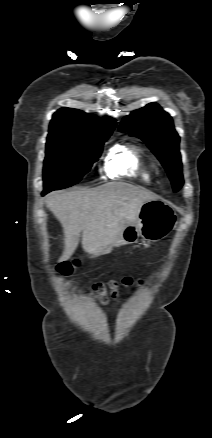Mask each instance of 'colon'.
Segmentation results:
<instances>
[{
  "instance_id": "colon-1",
  "label": "colon",
  "mask_w": 212,
  "mask_h": 438,
  "mask_svg": "<svg viewBox=\"0 0 212 438\" xmlns=\"http://www.w3.org/2000/svg\"><path fill=\"white\" fill-rule=\"evenodd\" d=\"M72 270V265L68 262L62 263L58 267V271L63 275H68ZM133 284L131 278H125L121 283L110 281L107 284L96 283L93 285L91 292H93L101 303L106 304L111 298H116L120 285L130 287Z\"/></svg>"
}]
</instances>
